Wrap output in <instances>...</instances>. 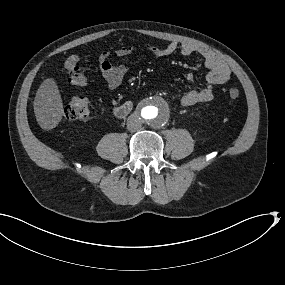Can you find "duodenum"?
Segmentation results:
<instances>
[{"label": "duodenum", "mask_w": 285, "mask_h": 285, "mask_svg": "<svg viewBox=\"0 0 285 285\" xmlns=\"http://www.w3.org/2000/svg\"><path fill=\"white\" fill-rule=\"evenodd\" d=\"M132 109V104L131 102H125L119 106H116L114 108V113L118 117H125L126 115L129 114V112Z\"/></svg>", "instance_id": "obj_1"}]
</instances>
